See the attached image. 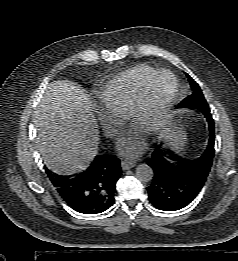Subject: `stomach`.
<instances>
[{
  "label": "stomach",
  "instance_id": "stomach-1",
  "mask_svg": "<svg viewBox=\"0 0 238 261\" xmlns=\"http://www.w3.org/2000/svg\"><path fill=\"white\" fill-rule=\"evenodd\" d=\"M183 137L184 135L181 128L178 126L177 122H173L169 130V136H168L170 147L175 151H179L183 143Z\"/></svg>",
  "mask_w": 238,
  "mask_h": 261
}]
</instances>
